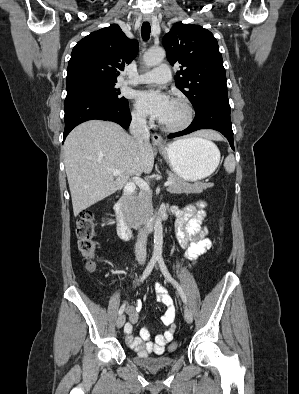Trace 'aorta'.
<instances>
[{"instance_id":"obj_1","label":"aorta","mask_w":299,"mask_h":394,"mask_svg":"<svg viewBox=\"0 0 299 394\" xmlns=\"http://www.w3.org/2000/svg\"><path fill=\"white\" fill-rule=\"evenodd\" d=\"M165 57V50L162 48H153L148 50L144 56L143 61L146 67H153L160 64ZM163 245V226L160 217H157L154 222V250L153 255L158 256L162 253Z\"/></svg>"}]
</instances>
